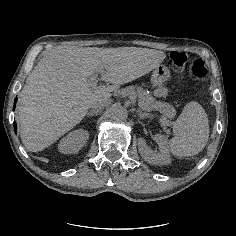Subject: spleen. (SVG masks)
Listing matches in <instances>:
<instances>
[{
    "instance_id": "3e777b00",
    "label": "spleen",
    "mask_w": 236,
    "mask_h": 236,
    "mask_svg": "<svg viewBox=\"0 0 236 236\" xmlns=\"http://www.w3.org/2000/svg\"><path fill=\"white\" fill-rule=\"evenodd\" d=\"M174 137L169 141L177 156H194L201 152L209 139V122L204 108L195 101L185 105L173 126Z\"/></svg>"
}]
</instances>
